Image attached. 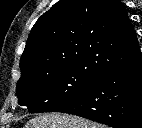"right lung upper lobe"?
Instances as JSON below:
<instances>
[{"instance_id":"cb5924a9","label":"right lung upper lobe","mask_w":142,"mask_h":128,"mask_svg":"<svg viewBox=\"0 0 142 128\" xmlns=\"http://www.w3.org/2000/svg\"><path fill=\"white\" fill-rule=\"evenodd\" d=\"M139 58L135 30L120 0H61L33 26L20 79L74 65L98 79Z\"/></svg>"}]
</instances>
